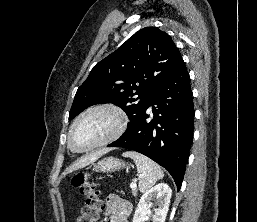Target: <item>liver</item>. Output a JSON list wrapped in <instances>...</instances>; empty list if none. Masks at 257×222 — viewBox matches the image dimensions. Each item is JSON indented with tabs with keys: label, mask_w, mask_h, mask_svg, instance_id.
I'll return each instance as SVG.
<instances>
[{
	"label": "liver",
	"mask_w": 257,
	"mask_h": 222,
	"mask_svg": "<svg viewBox=\"0 0 257 222\" xmlns=\"http://www.w3.org/2000/svg\"><path fill=\"white\" fill-rule=\"evenodd\" d=\"M109 151V149H102L99 150L93 154H90L82 159H80L79 161L73 163L66 171L65 174L71 173L75 170H78L80 168H83L91 163H93L94 161H96L98 158H100L102 155L106 154Z\"/></svg>",
	"instance_id": "obj_1"
}]
</instances>
